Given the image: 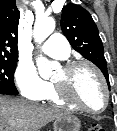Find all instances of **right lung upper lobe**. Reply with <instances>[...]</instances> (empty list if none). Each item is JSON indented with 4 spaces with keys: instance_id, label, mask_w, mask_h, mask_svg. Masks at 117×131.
Wrapping results in <instances>:
<instances>
[{
    "instance_id": "obj_1",
    "label": "right lung upper lobe",
    "mask_w": 117,
    "mask_h": 131,
    "mask_svg": "<svg viewBox=\"0 0 117 131\" xmlns=\"http://www.w3.org/2000/svg\"><path fill=\"white\" fill-rule=\"evenodd\" d=\"M19 18L15 0L0 1V55L18 57Z\"/></svg>"
}]
</instances>
